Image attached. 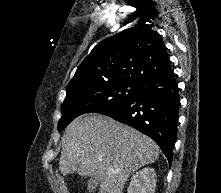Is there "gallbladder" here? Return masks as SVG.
Here are the masks:
<instances>
[{
  "label": "gallbladder",
  "mask_w": 221,
  "mask_h": 193,
  "mask_svg": "<svg viewBox=\"0 0 221 193\" xmlns=\"http://www.w3.org/2000/svg\"><path fill=\"white\" fill-rule=\"evenodd\" d=\"M98 184H99L98 178L92 177L88 183L89 191H93L98 186Z\"/></svg>",
  "instance_id": "obj_1"
}]
</instances>
